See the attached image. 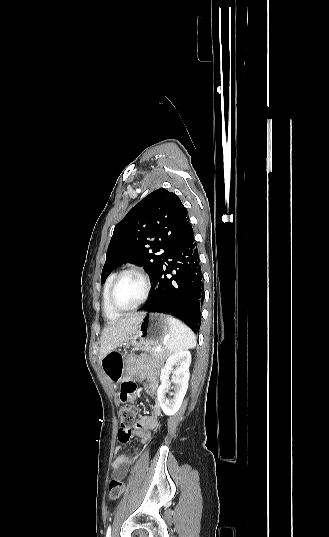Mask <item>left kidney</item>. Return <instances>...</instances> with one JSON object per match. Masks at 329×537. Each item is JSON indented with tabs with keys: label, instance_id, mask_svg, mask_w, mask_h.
Returning a JSON list of instances; mask_svg holds the SVG:
<instances>
[{
	"label": "left kidney",
	"instance_id": "5707ae66",
	"mask_svg": "<svg viewBox=\"0 0 329 537\" xmlns=\"http://www.w3.org/2000/svg\"><path fill=\"white\" fill-rule=\"evenodd\" d=\"M191 363V354L189 351H180L170 355L161 370L160 381L158 387L157 398L162 411L172 416L180 409L184 396L188 388V380L190 377L189 366ZM174 367H176L174 369ZM173 371L171 382L174 383L173 398L168 399L165 393L169 389V374Z\"/></svg>",
	"mask_w": 329,
	"mask_h": 537
}]
</instances>
